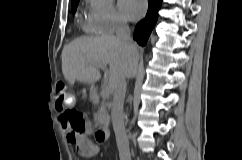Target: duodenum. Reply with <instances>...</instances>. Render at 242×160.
<instances>
[{
  "label": "duodenum",
  "mask_w": 242,
  "mask_h": 160,
  "mask_svg": "<svg viewBox=\"0 0 242 160\" xmlns=\"http://www.w3.org/2000/svg\"><path fill=\"white\" fill-rule=\"evenodd\" d=\"M91 96L94 99L98 97L97 88L91 89ZM95 136L98 142L105 143L109 139V129L106 126L100 127L99 129L96 130Z\"/></svg>",
  "instance_id": "obj_1"
}]
</instances>
